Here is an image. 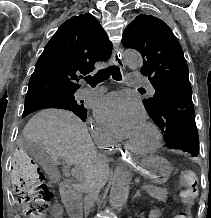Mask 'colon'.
<instances>
[{"mask_svg":"<svg viewBox=\"0 0 211 218\" xmlns=\"http://www.w3.org/2000/svg\"><path fill=\"white\" fill-rule=\"evenodd\" d=\"M12 182L24 214L28 218H42L48 211L51 192L45 183L40 166L24 150H18L14 154ZM197 183L198 177L195 171L183 170L181 172V197L188 208L176 214L174 218H193L189 206L198 194Z\"/></svg>","mask_w":211,"mask_h":218,"instance_id":"obj_1","label":"colon"}]
</instances>
